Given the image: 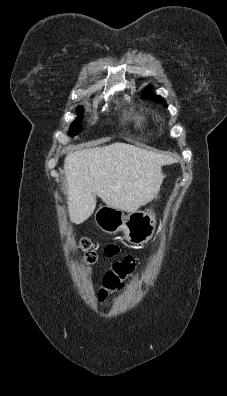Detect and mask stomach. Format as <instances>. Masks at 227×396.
I'll use <instances>...</instances> for the list:
<instances>
[{
    "label": "stomach",
    "mask_w": 227,
    "mask_h": 396,
    "mask_svg": "<svg viewBox=\"0 0 227 396\" xmlns=\"http://www.w3.org/2000/svg\"><path fill=\"white\" fill-rule=\"evenodd\" d=\"M162 182L159 184V188ZM159 188L154 198L159 197ZM97 226L108 234L124 232L125 239L135 245L147 243L152 239L156 218L152 211H133L128 215L124 211L110 206H101L94 215Z\"/></svg>",
    "instance_id": "obj_1"
}]
</instances>
